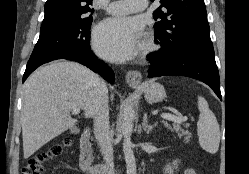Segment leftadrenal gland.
Segmentation results:
<instances>
[{
  "instance_id": "1",
  "label": "left adrenal gland",
  "mask_w": 249,
  "mask_h": 174,
  "mask_svg": "<svg viewBox=\"0 0 249 174\" xmlns=\"http://www.w3.org/2000/svg\"><path fill=\"white\" fill-rule=\"evenodd\" d=\"M157 123H154L152 125H148V116H147V113L144 114V117H143V122H142V127H143V130L149 134L154 127H156Z\"/></svg>"
}]
</instances>
